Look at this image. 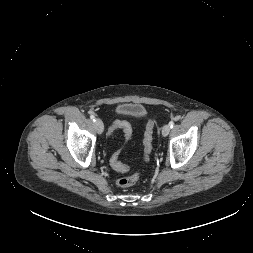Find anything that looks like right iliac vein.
I'll list each match as a JSON object with an SVG mask.
<instances>
[{
    "label": "right iliac vein",
    "mask_w": 253,
    "mask_h": 253,
    "mask_svg": "<svg viewBox=\"0 0 253 253\" xmlns=\"http://www.w3.org/2000/svg\"><path fill=\"white\" fill-rule=\"evenodd\" d=\"M95 128L98 134H102L104 130V125L103 122L98 118L95 120Z\"/></svg>",
    "instance_id": "obj_1"
}]
</instances>
